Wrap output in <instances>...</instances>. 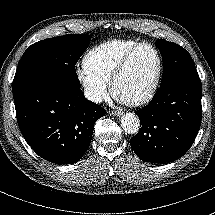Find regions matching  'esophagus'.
I'll return each mask as SVG.
<instances>
[{"label":"esophagus","mask_w":215,"mask_h":215,"mask_svg":"<svg viewBox=\"0 0 215 215\" xmlns=\"http://www.w3.org/2000/svg\"><path fill=\"white\" fill-rule=\"evenodd\" d=\"M122 113H123V112L120 111V110H116V111L112 112V114H114V115H116V116H121Z\"/></svg>","instance_id":"1"}]
</instances>
